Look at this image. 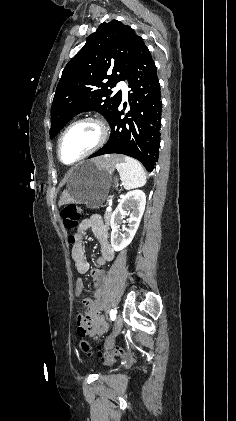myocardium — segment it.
<instances>
[{"label": "myocardium", "mask_w": 236, "mask_h": 421, "mask_svg": "<svg viewBox=\"0 0 236 421\" xmlns=\"http://www.w3.org/2000/svg\"><path fill=\"white\" fill-rule=\"evenodd\" d=\"M81 124H93V125H95L99 129V139L94 144V146L91 149H89L85 154H83L81 157H79L73 163L67 164L62 160V157H61V149H62L63 140H64L65 136L67 135V133L71 129H73L74 127H76L78 125H81ZM108 137H109V129H108L107 125L105 124V122L103 120H101L99 118H95V117H84V118L78 119V120L72 122L61 134L60 139L58 141V148H57L58 158H59L60 162L63 163L64 165H73V164L89 157L90 155H92L93 153H95L96 151L101 149L106 144V142L108 140Z\"/></svg>", "instance_id": "myocardium-1"}]
</instances>
